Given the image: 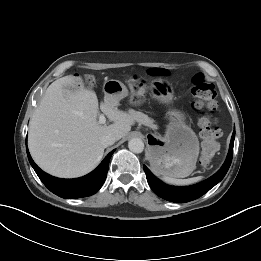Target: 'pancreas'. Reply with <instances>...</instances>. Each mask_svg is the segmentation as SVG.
<instances>
[{
    "label": "pancreas",
    "instance_id": "pancreas-1",
    "mask_svg": "<svg viewBox=\"0 0 261 261\" xmlns=\"http://www.w3.org/2000/svg\"><path fill=\"white\" fill-rule=\"evenodd\" d=\"M130 115L136 119L138 122H140L143 125L149 126V127H153V120L150 119L147 115H145L142 112H138V111H134V110H130L129 111Z\"/></svg>",
    "mask_w": 261,
    "mask_h": 261
}]
</instances>
